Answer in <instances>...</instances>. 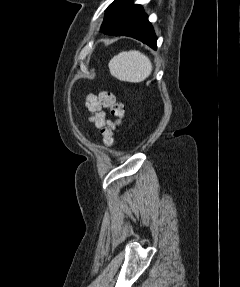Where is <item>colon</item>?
Returning a JSON list of instances; mask_svg holds the SVG:
<instances>
[{"instance_id":"1","label":"colon","mask_w":240,"mask_h":287,"mask_svg":"<svg viewBox=\"0 0 240 287\" xmlns=\"http://www.w3.org/2000/svg\"><path fill=\"white\" fill-rule=\"evenodd\" d=\"M97 98L100 105L108 108L113 116V120H108L106 126L101 130L105 146L111 147L114 141V132L121 124L125 115V106L122 102L116 100L112 92L107 90L99 91Z\"/></svg>"}]
</instances>
